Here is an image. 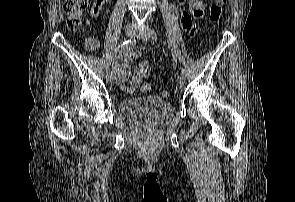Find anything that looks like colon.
<instances>
[{"label":"colon","instance_id":"1","mask_svg":"<svg viewBox=\"0 0 295 202\" xmlns=\"http://www.w3.org/2000/svg\"><path fill=\"white\" fill-rule=\"evenodd\" d=\"M227 0H214L210 6L209 18L212 22H218L221 19L223 7ZM87 6V0H65L63 4L64 13L67 16V26L71 31H77L82 22L83 13ZM143 60L146 62H141L136 66V75H145L151 72L150 68V57L144 56ZM141 90L146 92L148 90H153V85L147 82L141 86ZM170 92L168 90H163L161 96L163 98L169 97Z\"/></svg>","mask_w":295,"mask_h":202}]
</instances>
